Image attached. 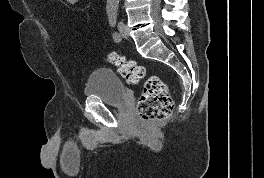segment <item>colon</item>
Instances as JSON below:
<instances>
[{
  "label": "colon",
  "instance_id": "obj_1",
  "mask_svg": "<svg viewBox=\"0 0 264 178\" xmlns=\"http://www.w3.org/2000/svg\"><path fill=\"white\" fill-rule=\"evenodd\" d=\"M107 61L130 84L145 79L142 94L137 102V112L146 122L167 119L173 111V100L167 85L158 76H148L146 68L134 60L117 53H109Z\"/></svg>",
  "mask_w": 264,
  "mask_h": 178
}]
</instances>
